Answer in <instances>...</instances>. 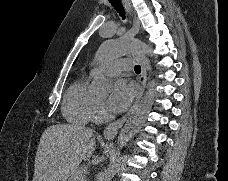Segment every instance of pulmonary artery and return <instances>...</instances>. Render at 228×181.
Returning <instances> with one entry per match:
<instances>
[{
  "label": "pulmonary artery",
  "instance_id": "obj_1",
  "mask_svg": "<svg viewBox=\"0 0 228 181\" xmlns=\"http://www.w3.org/2000/svg\"><path fill=\"white\" fill-rule=\"evenodd\" d=\"M118 61L119 62H124L123 66L125 67L126 71H132L133 70L132 63L129 62L130 61L129 57L118 58ZM120 69H121L120 65H106V67L103 68V70H120Z\"/></svg>",
  "mask_w": 228,
  "mask_h": 181
}]
</instances>
